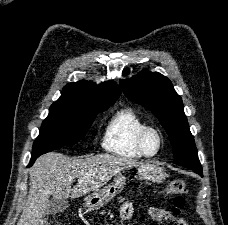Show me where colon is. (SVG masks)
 I'll list each match as a JSON object with an SVG mask.
<instances>
[{
	"instance_id": "1",
	"label": "colon",
	"mask_w": 228,
	"mask_h": 225,
	"mask_svg": "<svg viewBox=\"0 0 228 225\" xmlns=\"http://www.w3.org/2000/svg\"><path fill=\"white\" fill-rule=\"evenodd\" d=\"M167 193L172 196V214H181L184 208V196L187 194V187L183 180H172L167 187Z\"/></svg>"
}]
</instances>
